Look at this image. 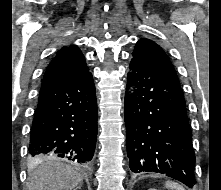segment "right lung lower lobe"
I'll use <instances>...</instances> for the list:
<instances>
[{
	"mask_svg": "<svg viewBox=\"0 0 221 190\" xmlns=\"http://www.w3.org/2000/svg\"><path fill=\"white\" fill-rule=\"evenodd\" d=\"M97 138V101L91 73L39 93L29 142L35 157L89 165Z\"/></svg>",
	"mask_w": 221,
	"mask_h": 190,
	"instance_id": "right-lung-lower-lobe-1",
	"label": "right lung lower lobe"
}]
</instances>
